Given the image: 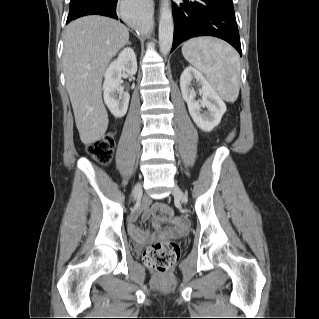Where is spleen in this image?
I'll return each instance as SVG.
<instances>
[{"label":"spleen","instance_id":"spleen-1","mask_svg":"<svg viewBox=\"0 0 319 319\" xmlns=\"http://www.w3.org/2000/svg\"><path fill=\"white\" fill-rule=\"evenodd\" d=\"M182 54L206 76L223 100L236 101L240 89V60L230 45L213 37H197L184 43Z\"/></svg>","mask_w":319,"mask_h":319}]
</instances>
